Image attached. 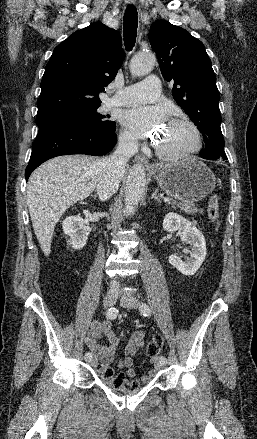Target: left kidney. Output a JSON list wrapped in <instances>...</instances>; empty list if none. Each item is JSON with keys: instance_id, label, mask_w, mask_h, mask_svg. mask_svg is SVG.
Wrapping results in <instances>:
<instances>
[{"instance_id": "1", "label": "left kidney", "mask_w": 257, "mask_h": 439, "mask_svg": "<svg viewBox=\"0 0 257 439\" xmlns=\"http://www.w3.org/2000/svg\"><path fill=\"white\" fill-rule=\"evenodd\" d=\"M163 229L168 232L179 231L183 242L191 246L190 257L185 261L174 254L169 257V263L184 275H194L205 260L206 241L203 234L186 218L174 213H168L163 220Z\"/></svg>"}]
</instances>
